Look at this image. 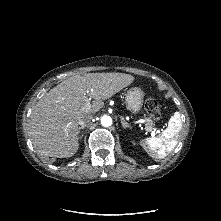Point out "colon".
<instances>
[{"label": "colon", "instance_id": "colon-1", "mask_svg": "<svg viewBox=\"0 0 221 221\" xmlns=\"http://www.w3.org/2000/svg\"><path fill=\"white\" fill-rule=\"evenodd\" d=\"M145 110L154 120L160 119L161 117L160 106L154 98H148L145 101Z\"/></svg>", "mask_w": 221, "mask_h": 221}]
</instances>
